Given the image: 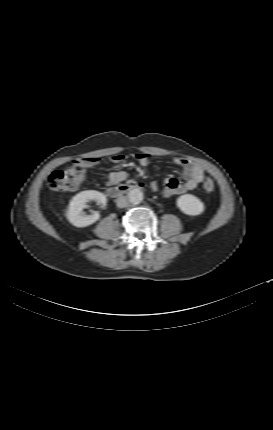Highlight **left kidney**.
Here are the masks:
<instances>
[{"label":"left kidney","mask_w":273,"mask_h":430,"mask_svg":"<svg viewBox=\"0 0 273 430\" xmlns=\"http://www.w3.org/2000/svg\"><path fill=\"white\" fill-rule=\"evenodd\" d=\"M178 208L186 215L197 216L201 214L204 209V203L192 194H185L177 199Z\"/></svg>","instance_id":"5707ae66"}]
</instances>
